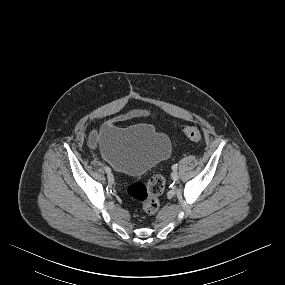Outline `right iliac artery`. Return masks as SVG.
I'll list each match as a JSON object with an SVG mask.
<instances>
[{"instance_id": "1", "label": "right iliac artery", "mask_w": 285, "mask_h": 285, "mask_svg": "<svg viewBox=\"0 0 285 285\" xmlns=\"http://www.w3.org/2000/svg\"><path fill=\"white\" fill-rule=\"evenodd\" d=\"M105 171H106L107 173H110V172H111V169H110L108 166H105Z\"/></svg>"}]
</instances>
